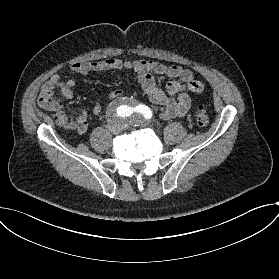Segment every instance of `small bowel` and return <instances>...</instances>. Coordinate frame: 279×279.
Wrapping results in <instances>:
<instances>
[{
	"mask_svg": "<svg viewBox=\"0 0 279 279\" xmlns=\"http://www.w3.org/2000/svg\"><path fill=\"white\" fill-rule=\"evenodd\" d=\"M71 72L87 75L90 72L129 70L138 75L139 84L149 99L162 107L161 117L165 120L183 116L191 106V98L187 91L200 93L204 84L196 79L194 73L179 65H166L153 60H124L121 58H108L104 60L86 61L75 63L70 67ZM154 74L166 75L174 78L166 85V92L159 89L155 83ZM76 81L73 78L64 79L61 75H53L41 87L38 96V106L47 111L55 112L58 122L64 128L84 134L88 129V113L82 111L74 119H69L63 110L62 99L54 96L55 90H60L64 99L74 98L73 87ZM122 92L116 91L112 97L119 96ZM92 113L99 116L102 113V104L96 100Z\"/></svg>",
	"mask_w": 279,
	"mask_h": 279,
	"instance_id": "1",
	"label": "small bowel"
}]
</instances>
